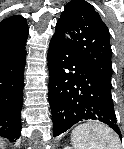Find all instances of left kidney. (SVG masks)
Wrapping results in <instances>:
<instances>
[{
  "label": "left kidney",
  "mask_w": 124,
  "mask_h": 149,
  "mask_svg": "<svg viewBox=\"0 0 124 149\" xmlns=\"http://www.w3.org/2000/svg\"><path fill=\"white\" fill-rule=\"evenodd\" d=\"M64 149H72L71 147H69V146H67V147H65Z\"/></svg>",
  "instance_id": "obj_1"
}]
</instances>
